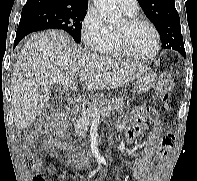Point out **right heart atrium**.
I'll return each mask as SVG.
<instances>
[{
    "mask_svg": "<svg viewBox=\"0 0 197 181\" xmlns=\"http://www.w3.org/2000/svg\"><path fill=\"white\" fill-rule=\"evenodd\" d=\"M111 30L95 8H89L81 24V37L93 51H101L109 42Z\"/></svg>",
    "mask_w": 197,
    "mask_h": 181,
    "instance_id": "obj_1",
    "label": "right heart atrium"
}]
</instances>
